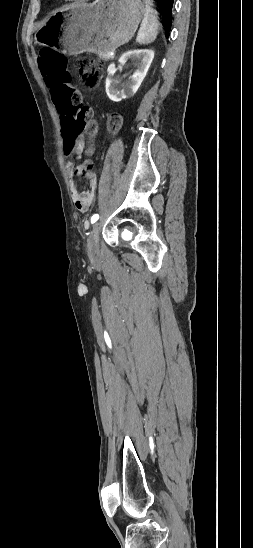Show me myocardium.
<instances>
[{
  "instance_id": "myocardium-1",
  "label": "myocardium",
  "mask_w": 253,
  "mask_h": 548,
  "mask_svg": "<svg viewBox=\"0 0 253 548\" xmlns=\"http://www.w3.org/2000/svg\"><path fill=\"white\" fill-rule=\"evenodd\" d=\"M65 1H82V0H65Z\"/></svg>"
}]
</instances>
